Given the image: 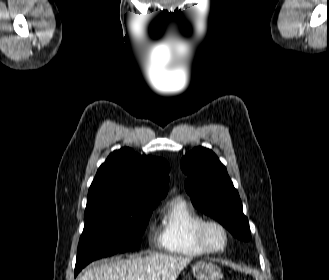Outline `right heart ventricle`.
Listing matches in <instances>:
<instances>
[{
  "label": "right heart ventricle",
  "instance_id": "1",
  "mask_svg": "<svg viewBox=\"0 0 329 280\" xmlns=\"http://www.w3.org/2000/svg\"><path fill=\"white\" fill-rule=\"evenodd\" d=\"M203 220V215L184 197L171 199L164 210L159 234L160 247L167 253L179 256L207 255L208 252L196 240V229Z\"/></svg>",
  "mask_w": 329,
  "mask_h": 280
}]
</instances>
